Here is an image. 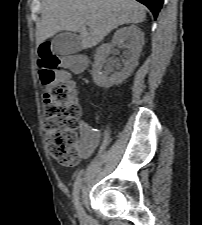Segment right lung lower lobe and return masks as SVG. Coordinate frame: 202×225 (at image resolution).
<instances>
[{"label": "right lung lower lobe", "mask_w": 202, "mask_h": 225, "mask_svg": "<svg viewBox=\"0 0 202 225\" xmlns=\"http://www.w3.org/2000/svg\"><path fill=\"white\" fill-rule=\"evenodd\" d=\"M140 3L146 5L150 11L153 13L154 18L156 19L162 4H163V0H137Z\"/></svg>", "instance_id": "1"}]
</instances>
